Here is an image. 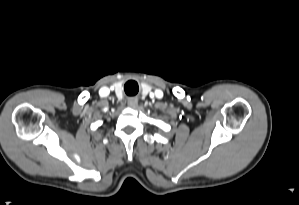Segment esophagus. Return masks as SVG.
<instances>
[{
  "label": "esophagus",
  "instance_id": "1",
  "mask_svg": "<svg viewBox=\"0 0 299 205\" xmlns=\"http://www.w3.org/2000/svg\"><path fill=\"white\" fill-rule=\"evenodd\" d=\"M127 104L130 108H136L138 105V100L136 98H129Z\"/></svg>",
  "mask_w": 299,
  "mask_h": 205
}]
</instances>
